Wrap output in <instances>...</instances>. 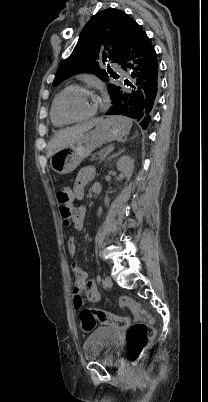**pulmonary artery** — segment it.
Masks as SVG:
<instances>
[{"label":"pulmonary artery","instance_id":"pulmonary-artery-1","mask_svg":"<svg viewBox=\"0 0 208 402\" xmlns=\"http://www.w3.org/2000/svg\"><path fill=\"white\" fill-rule=\"evenodd\" d=\"M114 72L115 73H118V72H121V73H123L124 71H123V69L121 68V66L120 65H118V64H115L114 65Z\"/></svg>","mask_w":208,"mask_h":402}]
</instances>
